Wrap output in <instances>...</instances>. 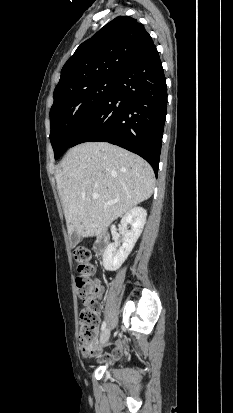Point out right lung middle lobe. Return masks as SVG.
I'll return each mask as SVG.
<instances>
[{"label": "right lung middle lobe", "mask_w": 233, "mask_h": 413, "mask_svg": "<svg viewBox=\"0 0 233 413\" xmlns=\"http://www.w3.org/2000/svg\"><path fill=\"white\" fill-rule=\"evenodd\" d=\"M115 78L96 80L54 100L50 110V141L55 159L71 147L112 91Z\"/></svg>", "instance_id": "obj_1"}]
</instances>
